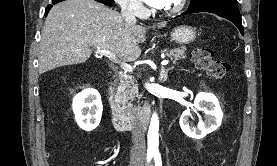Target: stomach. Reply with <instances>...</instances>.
Segmentation results:
<instances>
[{
    "label": "stomach",
    "instance_id": "obj_1",
    "mask_svg": "<svg viewBox=\"0 0 277 166\" xmlns=\"http://www.w3.org/2000/svg\"><path fill=\"white\" fill-rule=\"evenodd\" d=\"M196 37V30L188 25H180L171 32V39L178 44L192 43Z\"/></svg>",
    "mask_w": 277,
    "mask_h": 166
}]
</instances>
